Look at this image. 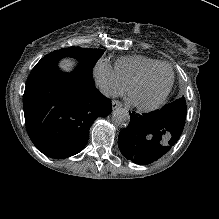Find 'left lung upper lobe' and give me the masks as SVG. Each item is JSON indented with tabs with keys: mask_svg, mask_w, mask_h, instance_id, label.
<instances>
[{
	"mask_svg": "<svg viewBox=\"0 0 219 219\" xmlns=\"http://www.w3.org/2000/svg\"><path fill=\"white\" fill-rule=\"evenodd\" d=\"M186 110H187L186 101L184 97H182L180 99H177L173 103L163 106L160 111L172 113L176 116L186 119Z\"/></svg>",
	"mask_w": 219,
	"mask_h": 219,
	"instance_id": "left-lung-upper-lobe-1",
	"label": "left lung upper lobe"
}]
</instances>
